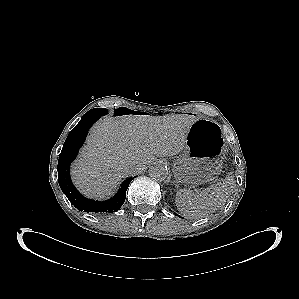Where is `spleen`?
<instances>
[{
  "mask_svg": "<svg viewBox=\"0 0 299 299\" xmlns=\"http://www.w3.org/2000/svg\"><path fill=\"white\" fill-rule=\"evenodd\" d=\"M235 186V176L230 173L223 183L211 185L200 193L179 189L175 197L176 207L184 216L200 219L223 207Z\"/></svg>",
  "mask_w": 299,
  "mask_h": 299,
  "instance_id": "spleen-1",
  "label": "spleen"
}]
</instances>
